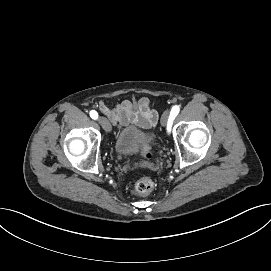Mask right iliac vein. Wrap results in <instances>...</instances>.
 <instances>
[{
    "instance_id": "63e3f726",
    "label": "right iliac vein",
    "mask_w": 271,
    "mask_h": 271,
    "mask_svg": "<svg viewBox=\"0 0 271 271\" xmlns=\"http://www.w3.org/2000/svg\"><path fill=\"white\" fill-rule=\"evenodd\" d=\"M98 122L105 131H107V132L111 131V125H110L109 121L105 117H100L98 119Z\"/></svg>"
}]
</instances>
